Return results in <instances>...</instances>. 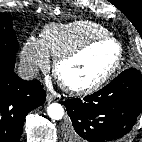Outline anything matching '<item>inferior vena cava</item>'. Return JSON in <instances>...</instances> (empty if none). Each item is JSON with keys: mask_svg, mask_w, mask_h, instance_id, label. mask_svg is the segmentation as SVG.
Returning a JSON list of instances; mask_svg holds the SVG:
<instances>
[{"mask_svg": "<svg viewBox=\"0 0 142 142\" xmlns=\"http://www.w3.org/2000/svg\"><path fill=\"white\" fill-rule=\"evenodd\" d=\"M39 69L37 66L27 63L21 62L17 68V74L20 78L24 80H32L38 75Z\"/></svg>", "mask_w": 142, "mask_h": 142, "instance_id": "602c4592", "label": "inferior vena cava"}]
</instances>
